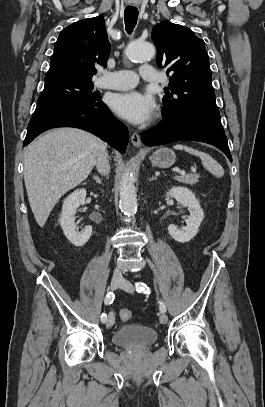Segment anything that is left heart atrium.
<instances>
[{
    "instance_id": "left-heart-atrium-1",
    "label": "left heart atrium",
    "mask_w": 265,
    "mask_h": 407,
    "mask_svg": "<svg viewBox=\"0 0 265 407\" xmlns=\"http://www.w3.org/2000/svg\"><path fill=\"white\" fill-rule=\"evenodd\" d=\"M110 106L117 115L133 124L148 121L155 109L153 98L138 91L114 94Z\"/></svg>"
}]
</instances>
